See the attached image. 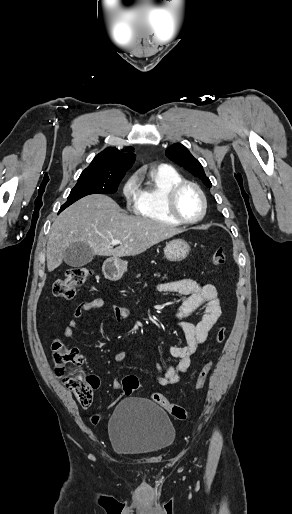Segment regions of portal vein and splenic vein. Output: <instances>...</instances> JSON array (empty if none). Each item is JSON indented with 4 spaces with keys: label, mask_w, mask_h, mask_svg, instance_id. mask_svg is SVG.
I'll list each match as a JSON object with an SVG mask.
<instances>
[{
    "label": "portal vein and splenic vein",
    "mask_w": 292,
    "mask_h": 514,
    "mask_svg": "<svg viewBox=\"0 0 292 514\" xmlns=\"http://www.w3.org/2000/svg\"><path fill=\"white\" fill-rule=\"evenodd\" d=\"M116 244H122V242H119V240H113L112 246H116Z\"/></svg>",
    "instance_id": "1"
}]
</instances>
